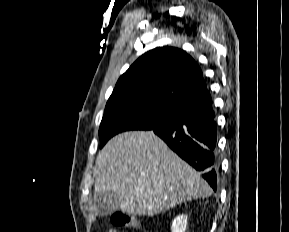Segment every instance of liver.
<instances>
[{"instance_id": "1", "label": "liver", "mask_w": 289, "mask_h": 232, "mask_svg": "<svg viewBox=\"0 0 289 232\" xmlns=\"http://www.w3.org/2000/svg\"><path fill=\"white\" fill-rule=\"evenodd\" d=\"M94 198L112 193L127 215L153 216L212 190L152 131L116 135L98 153Z\"/></svg>"}]
</instances>
